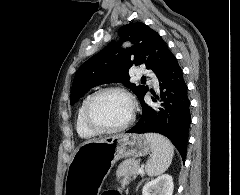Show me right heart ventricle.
Returning a JSON list of instances; mask_svg holds the SVG:
<instances>
[{"label": "right heart ventricle", "instance_id": "1", "mask_svg": "<svg viewBox=\"0 0 240 195\" xmlns=\"http://www.w3.org/2000/svg\"><path fill=\"white\" fill-rule=\"evenodd\" d=\"M90 99V96L86 97L80 104L77 112V117H76V127L79 135L82 138L85 139H90L94 136H96V133H94L92 130H90L84 119V113H85V107L87 105L88 100Z\"/></svg>", "mask_w": 240, "mask_h": 195}]
</instances>
